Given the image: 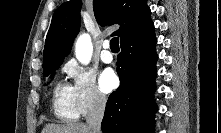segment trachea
Masks as SVG:
<instances>
[{"label": "trachea", "mask_w": 221, "mask_h": 133, "mask_svg": "<svg viewBox=\"0 0 221 133\" xmlns=\"http://www.w3.org/2000/svg\"><path fill=\"white\" fill-rule=\"evenodd\" d=\"M110 48L113 52L119 51V38L118 37H114L111 39Z\"/></svg>", "instance_id": "3493384b"}]
</instances>
